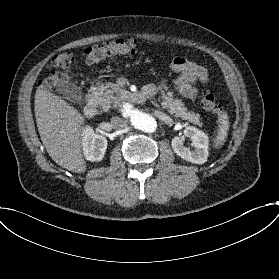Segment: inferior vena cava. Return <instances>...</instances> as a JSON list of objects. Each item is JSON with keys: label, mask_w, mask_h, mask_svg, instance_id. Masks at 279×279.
<instances>
[{"label": "inferior vena cava", "mask_w": 279, "mask_h": 279, "mask_svg": "<svg viewBox=\"0 0 279 279\" xmlns=\"http://www.w3.org/2000/svg\"><path fill=\"white\" fill-rule=\"evenodd\" d=\"M110 125L115 130H122L128 126L127 120L120 117H112L110 120Z\"/></svg>", "instance_id": "obj_1"}]
</instances>
